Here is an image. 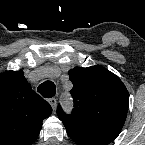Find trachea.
Instances as JSON below:
<instances>
[{"label":"trachea","instance_id":"1","mask_svg":"<svg viewBox=\"0 0 145 145\" xmlns=\"http://www.w3.org/2000/svg\"><path fill=\"white\" fill-rule=\"evenodd\" d=\"M37 90L45 98H51L56 94L55 84L52 81H45L41 83Z\"/></svg>","mask_w":145,"mask_h":145}]
</instances>
